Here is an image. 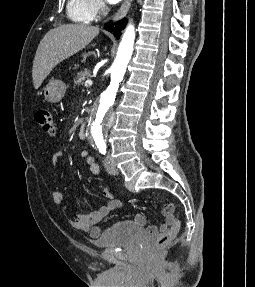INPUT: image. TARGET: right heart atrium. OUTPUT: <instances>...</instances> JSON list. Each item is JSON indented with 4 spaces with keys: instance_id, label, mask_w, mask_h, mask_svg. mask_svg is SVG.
Returning <instances> with one entry per match:
<instances>
[{
    "instance_id": "1",
    "label": "right heart atrium",
    "mask_w": 255,
    "mask_h": 287,
    "mask_svg": "<svg viewBox=\"0 0 255 287\" xmlns=\"http://www.w3.org/2000/svg\"><path fill=\"white\" fill-rule=\"evenodd\" d=\"M146 33H152V32H146ZM146 39H152V38H146Z\"/></svg>"
}]
</instances>
